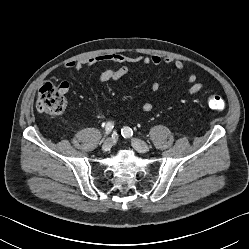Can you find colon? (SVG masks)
<instances>
[{"label":"colon","mask_w":249,"mask_h":249,"mask_svg":"<svg viewBox=\"0 0 249 249\" xmlns=\"http://www.w3.org/2000/svg\"><path fill=\"white\" fill-rule=\"evenodd\" d=\"M68 106L67 99L60 85L44 83L38 90L36 108L39 112L48 115H60ZM208 106L212 110L222 111L225 108L224 100L218 95L208 97Z\"/></svg>","instance_id":"obj_1"}]
</instances>
